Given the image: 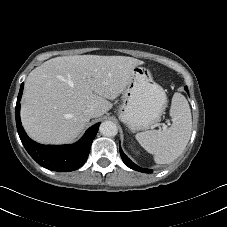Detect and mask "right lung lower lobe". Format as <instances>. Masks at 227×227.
<instances>
[{
  "instance_id": "1",
  "label": "right lung lower lobe",
  "mask_w": 227,
  "mask_h": 227,
  "mask_svg": "<svg viewBox=\"0 0 227 227\" xmlns=\"http://www.w3.org/2000/svg\"><path fill=\"white\" fill-rule=\"evenodd\" d=\"M21 84L16 104V125L19 137L29 155L42 167L52 171L68 172L81 167L87 160L90 147L100 123L90 127L84 136L72 145H42L31 140L25 133L20 120Z\"/></svg>"
}]
</instances>
